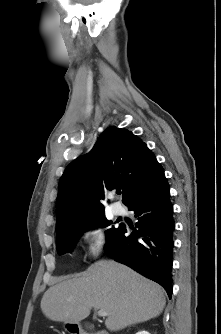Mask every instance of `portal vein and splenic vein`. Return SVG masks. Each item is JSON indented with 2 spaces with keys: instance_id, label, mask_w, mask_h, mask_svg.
<instances>
[{
  "instance_id": "1",
  "label": "portal vein and splenic vein",
  "mask_w": 221,
  "mask_h": 334,
  "mask_svg": "<svg viewBox=\"0 0 221 334\" xmlns=\"http://www.w3.org/2000/svg\"><path fill=\"white\" fill-rule=\"evenodd\" d=\"M97 314H98V316H100V317H105V316L108 315V313H107L105 310H103V309L98 310V311H97Z\"/></svg>"
}]
</instances>
